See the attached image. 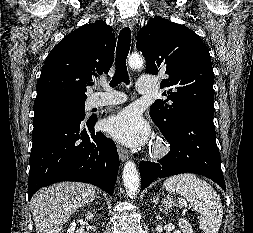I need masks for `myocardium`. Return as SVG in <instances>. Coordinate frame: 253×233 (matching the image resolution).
Wrapping results in <instances>:
<instances>
[{
	"label": "myocardium",
	"mask_w": 253,
	"mask_h": 233,
	"mask_svg": "<svg viewBox=\"0 0 253 233\" xmlns=\"http://www.w3.org/2000/svg\"><path fill=\"white\" fill-rule=\"evenodd\" d=\"M170 144L166 139H158L152 147V155L155 157L166 156L170 152Z\"/></svg>",
	"instance_id": "f54148a6"
}]
</instances>
